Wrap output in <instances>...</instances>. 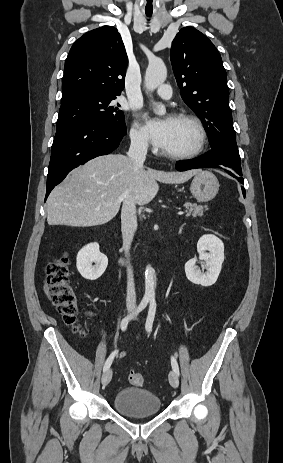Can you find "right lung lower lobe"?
Wrapping results in <instances>:
<instances>
[{"mask_svg":"<svg viewBox=\"0 0 283 463\" xmlns=\"http://www.w3.org/2000/svg\"><path fill=\"white\" fill-rule=\"evenodd\" d=\"M126 133V127L98 122H81L57 129L52 144L45 201L51 190L72 169L92 158L111 153Z\"/></svg>","mask_w":283,"mask_h":463,"instance_id":"obj_1","label":"right lung lower lobe"}]
</instances>
